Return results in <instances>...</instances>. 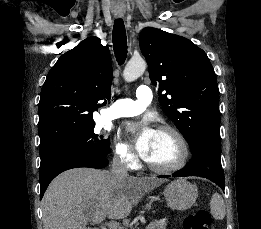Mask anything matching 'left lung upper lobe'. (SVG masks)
<instances>
[{
    "mask_svg": "<svg viewBox=\"0 0 261 229\" xmlns=\"http://www.w3.org/2000/svg\"><path fill=\"white\" fill-rule=\"evenodd\" d=\"M139 43L150 79L159 83L163 112L191 150L201 141L220 142L219 90L206 53L189 39L152 27L143 29Z\"/></svg>",
    "mask_w": 261,
    "mask_h": 229,
    "instance_id": "left-lung-upper-lobe-1",
    "label": "left lung upper lobe"
}]
</instances>
